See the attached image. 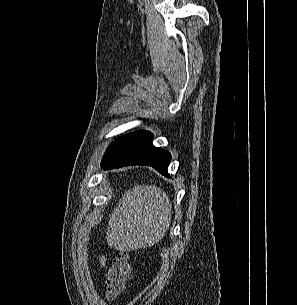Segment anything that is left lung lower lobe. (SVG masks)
<instances>
[{
  "mask_svg": "<svg viewBox=\"0 0 297 305\" xmlns=\"http://www.w3.org/2000/svg\"><path fill=\"white\" fill-rule=\"evenodd\" d=\"M152 139L153 135L143 130L118 137L108 147L101 166L104 169H113L128 165H147L169 177L167 169L171 155L168 151L153 146Z\"/></svg>",
  "mask_w": 297,
  "mask_h": 305,
  "instance_id": "left-lung-lower-lobe-1",
  "label": "left lung lower lobe"
}]
</instances>
